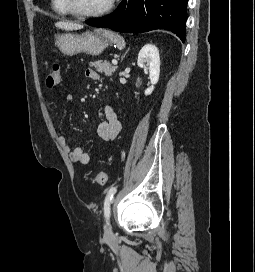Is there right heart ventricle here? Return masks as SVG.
<instances>
[{
	"label": "right heart ventricle",
	"mask_w": 255,
	"mask_h": 272,
	"mask_svg": "<svg viewBox=\"0 0 255 272\" xmlns=\"http://www.w3.org/2000/svg\"><path fill=\"white\" fill-rule=\"evenodd\" d=\"M51 7L53 11L62 16L70 15L69 11L66 9L63 0H51Z\"/></svg>",
	"instance_id": "obj_1"
}]
</instances>
